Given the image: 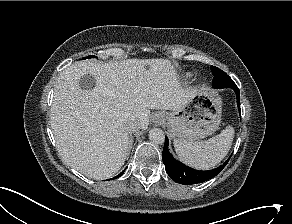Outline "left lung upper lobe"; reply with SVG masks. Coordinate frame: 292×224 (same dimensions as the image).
<instances>
[{"instance_id": "1", "label": "left lung upper lobe", "mask_w": 292, "mask_h": 224, "mask_svg": "<svg viewBox=\"0 0 292 224\" xmlns=\"http://www.w3.org/2000/svg\"><path fill=\"white\" fill-rule=\"evenodd\" d=\"M211 70L214 75L212 82L214 88H223L224 85L230 84L232 79L224 71L215 66H211Z\"/></svg>"}]
</instances>
